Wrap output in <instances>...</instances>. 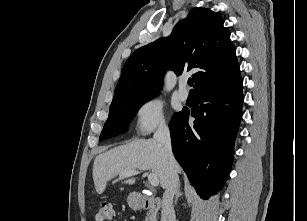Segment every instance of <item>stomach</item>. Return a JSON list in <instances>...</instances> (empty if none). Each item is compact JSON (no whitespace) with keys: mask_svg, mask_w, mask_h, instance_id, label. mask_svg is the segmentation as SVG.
I'll list each match as a JSON object with an SVG mask.
<instances>
[{"mask_svg":"<svg viewBox=\"0 0 307 221\" xmlns=\"http://www.w3.org/2000/svg\"><path fill=\"white\" fill-rule=\"evenodd\" d=\"M129 203L131 204V206H134L130 201H129Z\"/></svg>","mask_w":307,"mask_h":221,"instance_id":"stomach-1","label":"stomach"}]
</instances>
